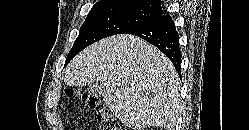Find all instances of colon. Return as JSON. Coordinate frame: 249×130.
Wrapping results in <instances>:
<instances>
[{"instance_id": "obj_1", "label": "colon", "mask_w": 249, "mask_h": 130, "mask_svg": "<svg viewBox=\"0 0 249 130\" xmlns=\"http://www.w3.org/2000/svg\"><path fill=\"white\" fill-rule=\"evenodd\" d=\"M66 95L68 97H77L84 105L95 111L99 122V130H121L120 124L99 98L73 89H67Z\"/></svg>"}]
</instances>
